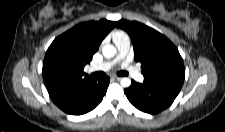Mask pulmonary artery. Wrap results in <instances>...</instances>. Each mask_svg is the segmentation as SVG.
<instances>
[{"mask_svg":"<svg viewBox=\"0 0 225 132\" xmlns=\"http://www.w3.org/2000/svg\"><path fill=\"white\" fill-rule=\"evenodd\" d=\"M115 44L118 49V57L113 61L104 62V63H100V64L91 66L89 68L90 72L107 71L113 66V64H115L117 61L123 59L128 54L129 49H130V39L128 36L116 40ZM129 72L136 81L142 82L144 80L143 75L140 72H138L137 70H135L134 68L130 67Z\"/></svg>","mask_w":225,"mask_h":132,"instance_id":"pulmonary-artery-1","label":"pulmonary artery"}]
</instances>
